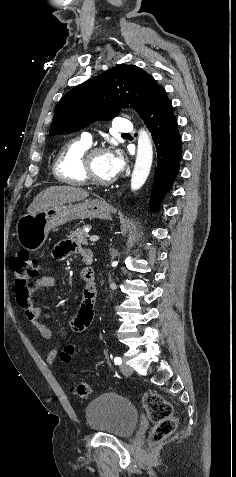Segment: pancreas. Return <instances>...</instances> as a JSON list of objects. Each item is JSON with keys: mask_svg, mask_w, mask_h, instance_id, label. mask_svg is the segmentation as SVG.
Returning a JSON list of instances; mask_svg holds the SVG:
<instances>
[{"mask_svg": "<svg viewBox=\"0 0 236 477\" xmlns=\"http://www.w3.org/2000/svg\"><path fill=\"white\" fill-rule=\"evenodd\" d=\"M85 226L81 227V228H77L76 230L74 231H71L70 232V235H68L67 237L74 243L78 244V245H87L88 242H87V238L89 237L88 233L85 232L84 230ZM91 245H94L93 243Z\"/></svg>", "mask_w": 236, "mask_h": 477, "instance_id": "cf45deb5", "label": "pancreas"}]
</instances>
